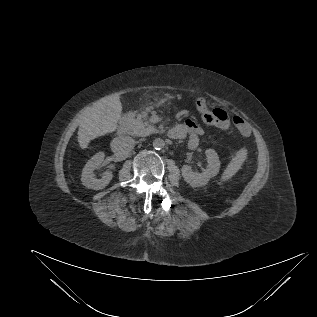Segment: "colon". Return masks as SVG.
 Segmentation results:
<instances>
[{
    "label": "colon",
    "mask_w": 317,
    "mask_h": 317,
    "mask_svg": "<svg viewBox=\"0 0 317 317\" xmlns=\"http://www.w3.org/2000/svg\"><path fill=\"white\" fill-rule=\"evenodd\" d=\"M197 107L201 112L202 119L208 124H222L227 114L221 109H209L205 99L197 101Z\"/></svg>",
    "instance_id": "obj_1"
}]
</instances>
